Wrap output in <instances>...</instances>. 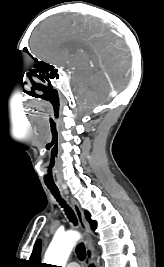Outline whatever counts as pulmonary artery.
I'll return each mask as SVG.
<instances>
[{
  "mask_svg": "<svg viewBox=\"0 0 164 267\" xmlns=\"http://www.w3.org/2000/svg\"><path fill=\"white\" fill-rule=\"evenodd\" d=\"M67 267H80L78 263L76 262H71L67 265Z\"/></svg>",
  "mask_w": 164,
  "mask_h": 267,
  "instance_id": "obj_1",
  "label": "pulmonary artery"
}]
</instances>
